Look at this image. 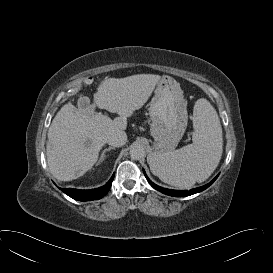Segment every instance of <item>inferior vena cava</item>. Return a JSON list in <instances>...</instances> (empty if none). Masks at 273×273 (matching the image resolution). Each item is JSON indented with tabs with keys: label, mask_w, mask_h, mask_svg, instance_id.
I'll return each instance as SVG.
<instances>
[{
	"label": "inferior vena cava",
	"mask_w": 273,
	"mask_h": 273,
	"mask_svg": "<svg viewBox=\"0 0 273 273\" xmlns=\"http://www.w3.org/2000/svg\"><path fill=\"white\" fill-rule=\"evenodd\" d=\"M127 141V135L122 130H115L111 132L107 137V143L114 147H121Z\"/></svg>",
	"instance_id": "inferior-vena-cava-1"
}]
</instances>
